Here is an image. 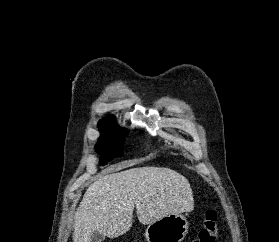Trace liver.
Segmentation results:
<instances>
[{"mask_svg": "<svg viewBox=\"0 0 279 242\" xmlns=\"http://www.w3.org/2000/svg\"><path fill=\"white\" fill-rule=\"evenodd\" d=\"M134 207L144 225L190 212L194 209L190 183L170 168L108 169L83 196L74 216L73 242H91L95 231L109 238L123 235L132 227Z\"/></svg>", "mask_w": 279, "mask_h": 242, "instance_id": "1", "label": "liver"}]
</instances>
